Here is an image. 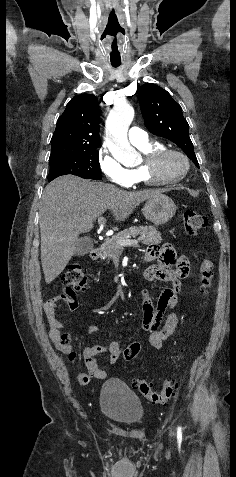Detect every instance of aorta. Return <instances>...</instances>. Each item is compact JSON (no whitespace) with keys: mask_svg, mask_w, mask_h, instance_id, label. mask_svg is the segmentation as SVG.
<instances>
[{"mask_svg":"<svg viewBox=\"0 0 236 477\" xmlns=\"http://www.w3.org/2000/svg\"><path fill=\"white\" fill-rule=\"evenodd\" d=\"M134 118V109L128 104L116 105L106 120V142L112 154L121 162L135 160L137 151L130 145L127 132Z\"/></svg>","mask_w":236,"mask_h":477,"instance_id":"762f6f07","label":"aorta"}]
</instances>
